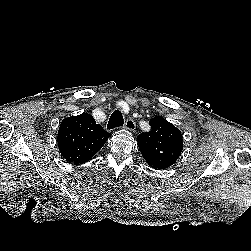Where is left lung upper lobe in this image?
<instances>
[{
    "mask_svg": "<svg viewBox=\"0 0 251 251\" xmlns=\"http://www.w3.org/2000/svg\"><path fill=\"white\" fill-rule=\"evenodd\" d=\"M151 130L137 136L139 149L150 167L164 170L173 165L183 149L181 131L161 116L149 122Z\"/></svg>",
    "mask_w": 251,
    "mask_h": 251,
    "instance_id": "obj_1",
    "label": "left lung upper lobe"
}]
</instances>
